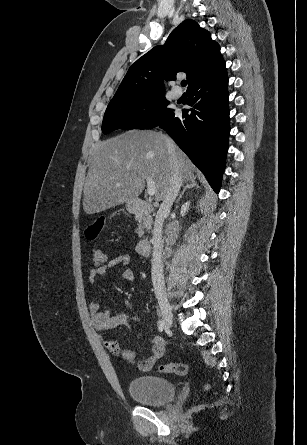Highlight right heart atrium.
<instances>
[{
  "instance_id": "d8ad5b80",
  "label": "right heart atrium",
  "mask_w": 307,
  "mask_h": 445,
  "mask_svg": "<svg viewBox=\"0 0 307 445\" xmlns=\"http://www.w3.org/2000/svg\"><path fill=\"white\" fill-rule=\"evenodd\" d=\"M154 110V106L151 102H145L141 108H140V113L142 115H149L153 112Z\"/></svg>"
}]
</instances>
